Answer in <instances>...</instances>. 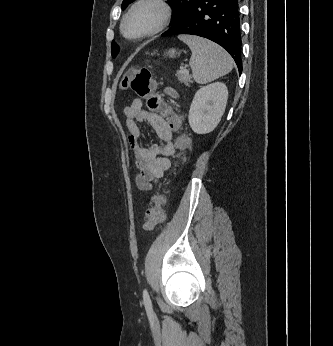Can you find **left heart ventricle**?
I'll return each instance as SVG.
<instances>
[{"label": "left heart ventricle", "mask_w": 333, "mask_h": 346, "mask_svg": "<svg viewBox=\"0 0 333 346\" xmlns=\"http://www.w3.org/2000/svg\"><path fill=\"white\" fill-rule=\"evenodd\" d=\"M160 9L153 4L139 6L127 19L125 32L129 36H135L152 29L159 22Z\"/></svg>", "instance_id": "obj_1"}]
</instances>
